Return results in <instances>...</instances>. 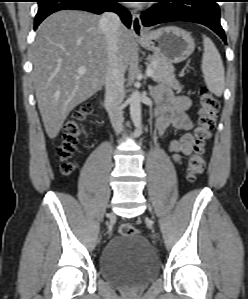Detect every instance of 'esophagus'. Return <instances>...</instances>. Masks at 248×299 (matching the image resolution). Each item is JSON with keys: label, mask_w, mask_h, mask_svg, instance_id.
<instances>
[{"label": "esophagus", "mask_w": 248, "mask_h": 299, "mask_svg": "<svg viewBox=\"0 0 248 299\" xmlns=\"http://www.w3.org/2000/svg\"><path fill=\"white\" fill-rule=\"evenodd\" d=\"M131 31L135 38L141 39L147 35V30L144 28L140 14L132 12Z\"/></svg>", "instance_id": "1"}]
</instances>
